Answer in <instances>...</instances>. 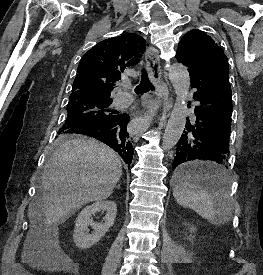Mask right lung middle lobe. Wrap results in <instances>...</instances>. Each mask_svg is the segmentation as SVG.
Wrapping results in <instances>:
<instances>
[{"label": "right lung middle lobe", "mask_w": 263, "mask_h": 275, "mask_svg": "<svg viewBox=\"0 0 263 275\" xmlns=\"http://www.w3.org/2000/svg\"><path fill=\"white\" fill-rule=\"evenodd\" d=\"M111 102V98L93 94L71 96L67 105V119L60 128L56 141L70 140L66 131L76 125L104 121L114 116V111L108 109Z\"/></svg>", "instance_id": "obj_1"}]
</instances>
